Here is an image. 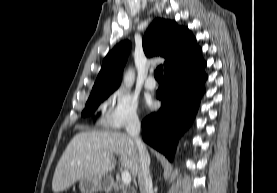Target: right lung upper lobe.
Wrapping results in <instances>:
<instances>
[{"label": "right lung upper lobe", "instance_id": "obj_1", "mask_svg": "<svg viewBox=\"0 0 277 193\" xmlns=\"http://www.w3.org/2000/svg\"><path fill=\"white\" fill-rule=\"evenodd\" d=\"M131 43L124 41L116 45L105 57L92 92L114 91L121 82L123 67L127 61ZM199 46L188 28L179 27L176 22L155 19L143 38V50L146 56L160 55L165 58L167 71L172 66L185 60Z\"/></svg>", "mask_w": 277, "mask_h": 193}]
</instances>
